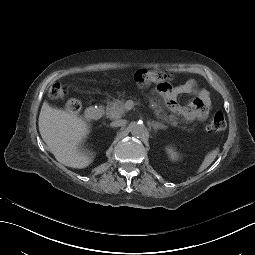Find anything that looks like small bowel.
Returning <instances> with one entry per match:
<instances>
[{
  "label": "small bowel",
  "mask_w": 255,
  "mask_h": 255,
  "mask_svg": "<svg viewBox=\"0 0 255 255\" xmlns=\"http://www.w3.org/2000/svg\"><path fill=\"white\" fill-rule=\"evenodd\" d=\"M196 86L197 82L194 79H189L171 90L167 87L165 90L160 91L169 96V107L175 114L182 116L187 121L204 120L211 107V98L207 90H200L196 98H194L187 106H180L173 100V97L179 94L193 92Z\"/></svg>",
  "instance_id": "1"
}]
</instances>
